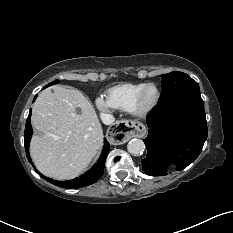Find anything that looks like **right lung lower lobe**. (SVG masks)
<instances>
[{
    "mask_svg": "<svg viewBox=\"0 0 233 233\" xmlns=\"http://www.w3.org/2000/svg\"><path fill=\"white\" fill-rule=\"evenodd\" d=\"M35 99H36V97L34 98V100ZM32 134H33V130L31 127V109H30V113L28 115V118L26 121V126H25L24 143H25L26 155H27V158L29 159V162L31 164H32V160H31L30 155H29V143H30V139H31ZM109 149H110V145L105 139V145L103 147V152L98 160V163L95 164L94 167L90 171L86 172L85 175H82L79 178H75V179L70 180V181H57V180L47 178L43 175H41V176L43 179L47 180L48 182H50L56 186L63 187V188L75 189L78 187H84V186L91 185V184L97 182V180L103 175L104 163H105V159L108 155ZM36 172H37V170H36Z\"/></svg>",
    "mask_w": 233,
    "mask_h": 233,
    "instance_id": "98d812e1",
    "label": "right lung lower lobe"
}]
</instances>
